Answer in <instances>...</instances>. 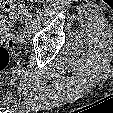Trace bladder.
Instances as JSON below:
<instances>
[{"label":"bladder","instance_id":"31cf9c89","mask_svg":"<svg viewBox=\"0 0 113 113\" xmlns=\"http://www.w3.org/2000/svg\"><path fill=\"white\" fill-rule=\"evenodd\" d=\"M9 30H10L9 27H6V28H4L3 31H1V38L2 39H5L7 37L8 33H9Z\"/></svg>","mask_w":113,"mask_h":113}]
</instances>
